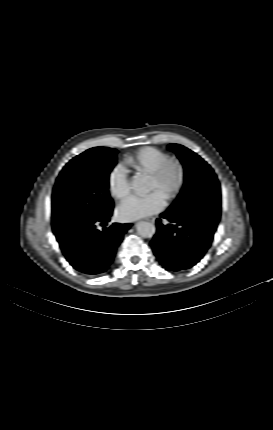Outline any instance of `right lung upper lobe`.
Masks as SVG:
<instances>
[{
  "label": "right lung upper lobe",
  "instance_id": "cb5924a9",
  "mask_svg": "<svg viewBox=\"0 0 273 430\" xmlns=\"http://www.w3.org/2000/svg\"><path fill=\"white\" fill-rule=\"evenodd\" d=\"M105 150H107V149H111V148H106V147H103Z\"/></svg>",
  "mask_w": 273,
  "mask_h": 430
}]
</instances>
